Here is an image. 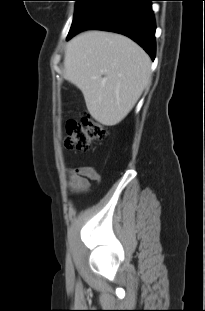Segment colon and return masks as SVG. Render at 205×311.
<instances>
[{"mask_svg":"<svg viewBox=\"0 0 205 311\" xmlns=\"http://www.w3.org/2000/svg\"><path fill=\"white\" fill-rule=\"evenodd\" d=\"M66 132L65 146L81 153L89 152L92 144L106 135L104 126L86 114L80 115L78 120H68Z\"/></svg>","mask_w":205,"mask_h":311,"instance_id":"colon-1","label":"colon"}]
</instances>
